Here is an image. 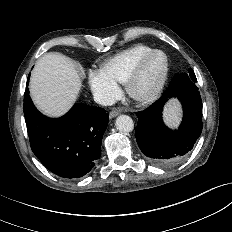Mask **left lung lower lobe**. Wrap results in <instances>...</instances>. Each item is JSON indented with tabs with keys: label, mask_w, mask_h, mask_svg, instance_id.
<instances>
[{
	"label": "left lung lower lobe",
	"mask_w": 232,
	"mask_h": 232,
	"mask_svg": "<svg viewBox=\"0 0 232 232\" xmlns=\"http://www.w3.org/2000/svg\"><path fill=\"white\" fill-rule=\"evenodd\" d=\"M178 97L183 107V120L178 130H171L162 120L164 104ZM136 140L146 159L158 167L181 162L191 151L202 132V100L194 83H184L175 75L163 96L144 111L136 113Z\"/></svg>",
	"instance_id": "0a47b994"
}]
</instances>
